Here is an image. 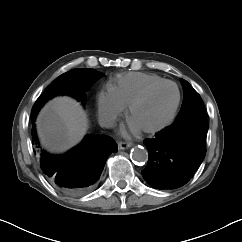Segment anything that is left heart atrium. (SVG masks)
<instances>
[{"label":"left heart atrium","instance_id":"1","mask_svg":"<svg viewBox=\"0 0 242 242\" xmlns=\"http://www.w3.org/2000/svg\"><path fill=\"white\" fill-rule=\"evenodd\" d=\"M130 127L134 131H138L139 130L133 123L130 124Z\"/></svg>","mask_w":242,"mask_h":242}]
</instances>
